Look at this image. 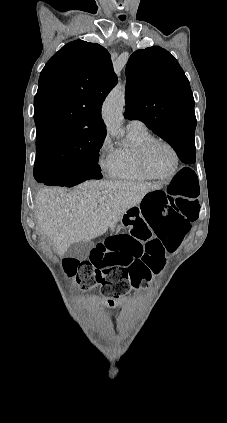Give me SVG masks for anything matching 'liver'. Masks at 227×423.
I'll list each match as a JSON object with an SVG mask.
<instances>
[{
  "label": "liver",
  "instance_id": "6515ba94",
  "mask_svg": "<svg viewBox=\"0 0 227 423\" xmlns=\"http://www.w3.org/2000/svg\"><path fill=\"white\" fill-rule=\"evenodd\" d=\"M162 188L159 182H84L73 190L45 188L36 196L38 233H46L64 255L71 243L106 233L121 215ZM104 198V202H99Z\"/></svg>",
  "mask_w": 227,
  "mask_h": 423
}]
</instances>
